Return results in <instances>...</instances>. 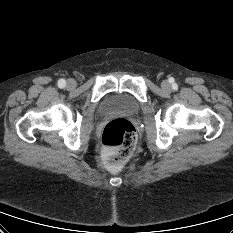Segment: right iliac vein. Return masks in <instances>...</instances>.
<instances>
[{
	"instance_id": "right-iliac-vein-1",
	"label": "right iliac vein",
	"mask_w": 233,
	"mask_h": 233,
	"mask_svg": "<svg viewBox=\"0 0 233 233\" xmlns=\"http://www.w3.org/2000/svg\"><path fill=\"white\" fill-rule=\"evenodd\" d=\"M76 87V81L74 79H69L67 81V88L72 90Z\"/></svg>"
}]
</instances>
